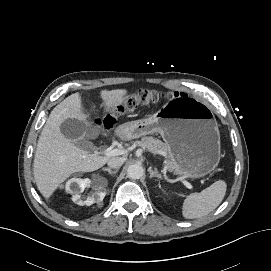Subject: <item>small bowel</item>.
<instances>
[{
	"mask_svg": "<svg viewBox=\"0 0 271 271\" xmlns=\"http://www.w3.org/2000/svg\"><path fill=\"white\" fill-rule=\"evenodd\" d=\"M62 130L64 133L69 137H79V130L76 126L69 125L67 123H64L62 125Z\"/></svg>",
	"mask_w": 271,
	"mask_h": 271,
	"instance_id": "obj_1",
	"label": "small bowel"
}]
</instances>
